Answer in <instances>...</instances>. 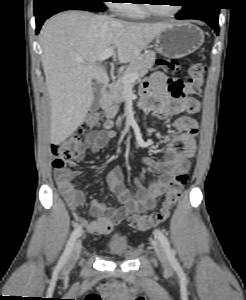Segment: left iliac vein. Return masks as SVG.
Wrapping results in <instances>:
<instances>
[{
    "label": "left iliac vein",
    "mask_w": 246,
    "mask_h": 300,
    "mask_svg": "<svg viewBox=\"0 0 246 300\" xmlns=\"http://www.w3.org/2000/svg\"><path fill=\"white\" fill-rule=\"evenodd\" d=\"M153 246L155 248L156 255L159 258V260L161 261V263L164 266L169 267L170 266L169 259H168V256H167L163 246L156 240H153Z\"/></svg>",
    "instance_id": "obj_1"
}]
</instances>
